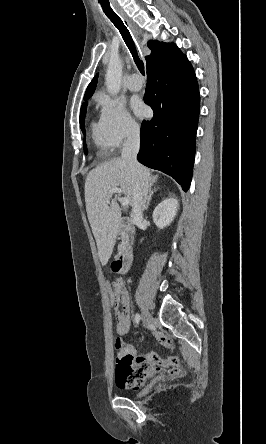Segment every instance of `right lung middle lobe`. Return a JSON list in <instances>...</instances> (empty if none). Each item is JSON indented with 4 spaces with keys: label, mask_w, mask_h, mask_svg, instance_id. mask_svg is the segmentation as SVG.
I'll list each match as a JSON object with an SVG mask.
<instances>
[{
    "label": "right lung middle lobe",
    "mask_w": 266,
    "mask_h": 444,
    "mask_svg": "<svg viewBox=\"0 0 266 444\" xmlns=\"http://www.w3.org/2000/svg\"><path fill=\"white\" fill-rule=\"evenodd\" d=\"M87 104H88L87 102H84V103L82 104V106H81V110H80V117H79V120H80V127H81V130H82L84 136L86 135V133H85V129H84V118H85V114H86V107H87ZM84 151H85V153L87 154L86 144H84Z\"/></svg>",
    "instance_id": "dd1d6c3e"
}]
</instances>
